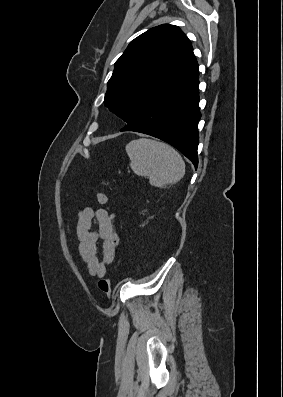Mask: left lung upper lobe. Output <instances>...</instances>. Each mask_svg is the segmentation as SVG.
Instances as JSON below:
<instances>
[{"mask_svg":"<svg viewBox=\"0 0 283 397\" xmlns=\"http://www.w3.org/2000/svg\"><path fill=\"white\" fill-rule=\"evenodd\" d=\"M198 73L189 39L175 25H160L135 38L115 62L104 104L130 124Z\"/></svg>","mask_w":283,"mask_h":397,"instance_id":"1","label":"left lung upper lobe"}]
</instances>
